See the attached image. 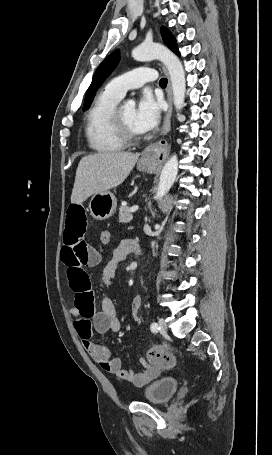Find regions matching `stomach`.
I'll return each instance as SVG.
<instances>
[{
	"mask_svg": "<svg viewBox=\"0 0 272 455\" xmlns=\"http://www.w3.org/2000/svg\"><path fill=\"white\" fill-rule=\"evenodd\" d=\"M157 163L154 159L141 157L137 162V169L147 173L156 171ZM117 207V200L110 191L94 194L89 202V211L96 220H105L111 217Z\"/></svg>",
	"mask_w": 272,
	"mask_h": 455,
	"instance_id": "stomach-1",
	"label": "stomach"
}]
</instances>
